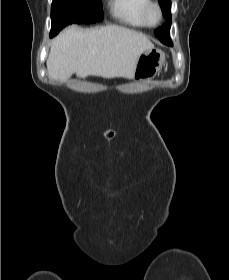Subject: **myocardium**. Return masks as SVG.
I'll return each mask as SVG.
<instances>
[{
    "label": "myocardium",
    "instance_id": "obj_1",
    "mask_svg": "<svg viewBox=\"0 0 229 280\" xmlns=\"http://www.w3.org/2000/svg\"><path fill=\"white\" fill-rule=\"evenodd\" d=\"M152 13H155L157 18L155 21L151 20ZM143 18L148 27L158 25L162 20V9L156 2H149L143 12Z\"/></svg>",
    "mask_w": 229,
    "mask_h": 280
}]
</instances>
